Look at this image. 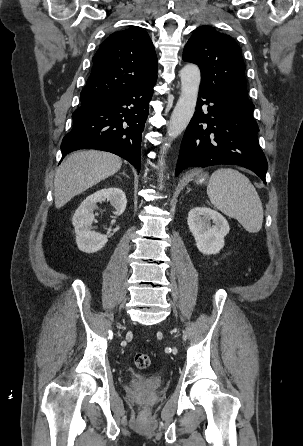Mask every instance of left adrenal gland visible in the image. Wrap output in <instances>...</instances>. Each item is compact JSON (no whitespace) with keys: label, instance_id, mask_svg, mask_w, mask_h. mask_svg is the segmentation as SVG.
I'll list each match as a JSON object with an SVG mask.
<instances>
[{"label":"left adrenal gland","instance_id":"obj_1","mask_svg":"<svg viewBox=\"0 0 303 446\" xmlns=\"http://www.w3.org/2000/svg\"><path fill=\"white\" fill-rule=\"evenodd\" d=\"M190 192V189H187V193H189Z\"/></svg>","mask_w":303,"mask_h":446}]
</instances>
